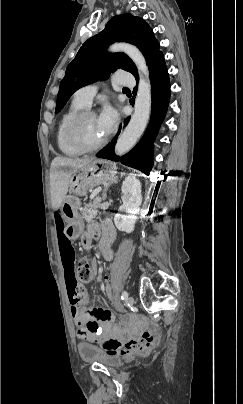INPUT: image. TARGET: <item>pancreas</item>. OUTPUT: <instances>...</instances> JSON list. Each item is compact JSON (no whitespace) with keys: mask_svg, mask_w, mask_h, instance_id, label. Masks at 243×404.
<instances>
[{"mask_svg":"<svg viewBox=\"0 0 243 404\" xmlns=\"http://www.w3.org/2000/svg\"><path fill=\"white\" fill-rule=\"evenodd\" d=\"M100 202V196H96V198H94L90 204H86L84 210H82V216L85 218L86 222H90V220L96 218Z\"/></svg>","mask_w":243,"mask_h":404,"instance_id":"1","label":"pancreas"}]
</instances>
